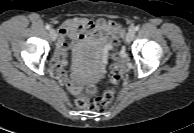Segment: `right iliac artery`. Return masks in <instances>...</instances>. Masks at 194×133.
Masks as SVG:
<instances>
[{"mask_svg":"<svg viewBox=\"0 0 194 133\" xmlns=\"http://www.w3.org/2000/svg\"><path fill=\"white\" fill-rule=\"evenodd\" d=\"M50 28H51V26H50L49 24H47V25H46V29L49 30Z\"/></svg>","mask_w":194,"mask_h":133,"instance_id":"right-iliac-artery-1","label":"right iliac artery"}]
</instances>
